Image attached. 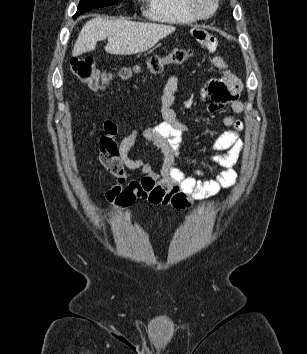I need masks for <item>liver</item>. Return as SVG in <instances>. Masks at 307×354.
<instances>
[{"mask_svg": "<svg viewBox=\"0 0 307 354\" xmlns=\"http://www.w3.org/2000/svg\"><path fill=\"white\" fill-rule=\"evenodd\" d=\"M170 25L140 23L128 20H109L96 17L82 28L72 55L93 51L97 42L108 39L105 51L113 55H132L152 48L159 40L175 31Z\"/></svg>", "mask_w": 307, "mask_h": 354, "instance_id": "liver-1", "label": "liver"}]
</instances>
